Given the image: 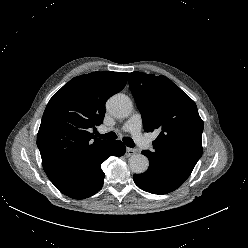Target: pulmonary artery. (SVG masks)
<instances>
[{"label":"pulmonary artery","instance_id":"e3ab8cb5","mask_svg":"<svg viewBox=\"0 0 248 248\" xmlns=\"http://www.w3.org/2000/svg\"><path fill=\"white\" fill-rule=\"evenodd\" d=\"M142 118L139 113L133 114L123 125L122 130L129 132L134 137L135 141L142 147H147L149 141L143 136L141 132ZM101 132H105L106 128H100Z\"/></svg>","mask_w":248,"mask_h":248}]
</instances>
